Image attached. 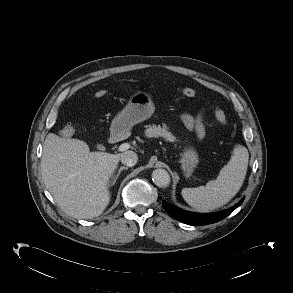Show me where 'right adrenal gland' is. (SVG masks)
<instances>
[{
    "instance_id": "obj_1",
    "label": "right adrenal gland",
    "mask_w": 293,
    "mask_h": 293,
    "mask_svg": "<svg viewBox=\"0 0 293 293\" xmlns=\"http://www.w3.org/2000/svg\"><path fill=\"white\" fill-rule=\"evenodd\" d=\"M123 170H128V167L122 166V167L119 168L118 173L115 176L112 177L111 186H113L116 183L121 171H123Z\"/></svg>"
}]
</instances>
